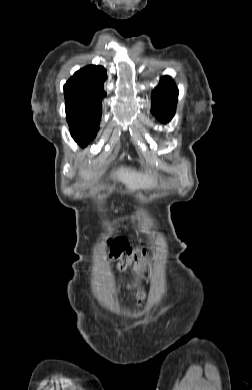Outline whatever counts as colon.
I'll return each mask as SVG.
<instances>
[{"instance_id": "5ec220e1", "label": "colon", "mask_w": 252, "mask_h": 390, "mask_svg": "<svg viewBox=\"0 0 252 390\" xmlns=\"http://www.w3.org/2000/svg\"><path fill=\"white\" fill-rule=\"evenodd\" d=\"M108 245L109 259L117 265L118 269H142L145 260V253L142 249L131 248L128 241L124 238L110 240ZM138 299L140 302L144 301L146 299V293L140 292L138 294Z\"/></svg>"}]
</instances>
